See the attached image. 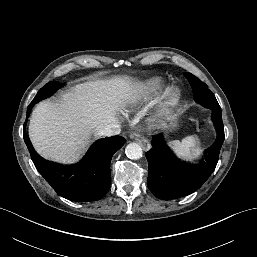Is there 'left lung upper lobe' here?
I'll use <instances>...</instances> for the list:
<instances>
[{
  "mask_svg": "<svg viewBox=\"0 0 257 257\" xmlns=\"http://www.w3.org/2000/svg\"><path fill=\"white\" fill-rule=\"evenodd\" d=\"M184 76L191 84L194 93V100L203 106L213 110H220V106L214 94L208 89L207 85L190 73H184Z\"/></svg>",
  "mask_w": 257,
  "mask_h": 257,
  "instance_id": "left-lung-upper-lobe-1",
  "label": "left lung upper lobe"
}]
</instances>
